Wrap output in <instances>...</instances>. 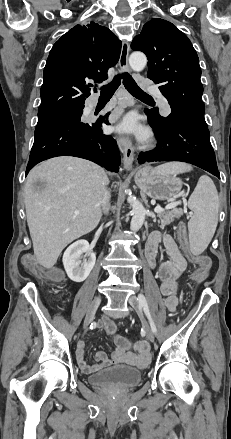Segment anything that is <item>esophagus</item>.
<instances>
[{
  "label": "esophagus",
  "mask_w": 231,
  "mask_h": 439,
  "mask_svg": "<svg viewBox=\"0 0 231 439\" xmlns=\"http://www.w3.org/2000/svg\"><path fill=\"white\" fill-rule=\"evenodd\" d=\"M130 46L128 42H123L121 54L119 58V66L121 70L129 72L128 56H129ZM118 145L121 147L123 152V165L126 170L132 169V164L134 160V146L128 137H118Z\"/></svg>",
  "instance_id": "1"
}]
</instances>
